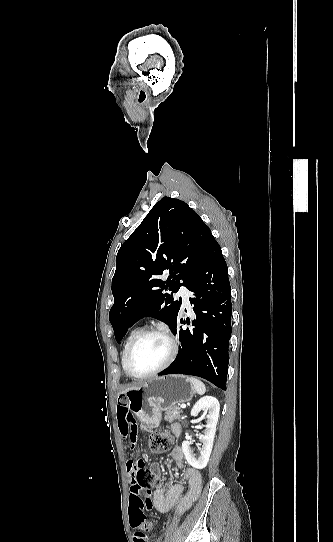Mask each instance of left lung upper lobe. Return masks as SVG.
I'll list each match as a JSON object with an SVG mask.
<instances>
[{
  "instance_id": "left-lung-upper-lobe-1",
  "label": "left lung upper lobe",
  "mask_w": 333,
  "mask_h": 542,
  "mask_svg": "<svg viewBox=\"0 0 333 542\" xmlns=\"http://www.w3.org/2000/svg\"><path fill=\"white\" fill-rule=\"evenodd\" d=\"M213 238L184 201L163 197L153 206L117 253L109 320L118 343L145 316L163 321L172 330L176 327L181 299L172 295L180 286L187 287ZM164 270H170L166 281L159 278Z\"/></svg>"
}]
</instances>
